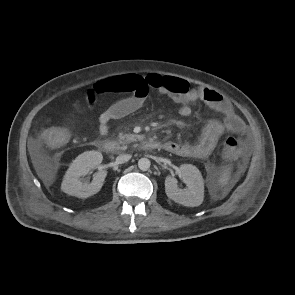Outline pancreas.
Instances as JSON below:
<instances>
[{"label": "pancreas", "mask_w": 295, "mask_h": 295, "mask_svg": "<svg viewBox=\"0 0 295 295\" xmlns=\"http://www.w3.org/2000/svg\"><path fill=\"white\" fill-rule=\"evenodd\" d=\"M136 136L132 134H119L118 135V142L122 145V149L126 148V145L130 142L135 141Z\"/></svg>", "instance_id": "obj_1"}]
</instances>
